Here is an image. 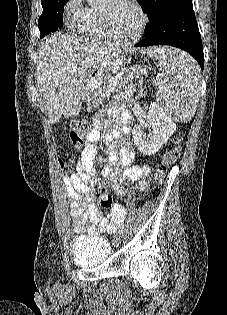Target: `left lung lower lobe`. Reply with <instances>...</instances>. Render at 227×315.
<instances>
[{
    "instance_id": "obj_1",
    "label": "left lung lower lobe",
    "mask_w": 227,
    "mask_h": 315,
    "mask_svg": "<svg viewBox=\"0 0 227 315\" xmlns=\"http://www.w3.org/2000/svg\"><path fill=\"white\" fill-rule=\"evenodd\" d=\"M170 45L187 51L201 69L204 68V54L201 36L193 7L175 10L144 30V39L136 47Z\"/></svg>"
}]
</instances>
